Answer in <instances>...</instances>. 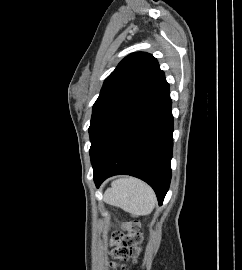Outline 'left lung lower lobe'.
<instances>
[{
  "label": "left lung lower lobe",
  "instance_id": "left-lung-lower-lobe-1",
  "mask_svg": "<svg viewBox=\"0 0 242 270\" xmlns=\"http://www.w3.org/2000/svg\"><path fill=\"white\" fill-rule=\"evenodd\" d=\"M164 80L107 134L92 161L97 187L108 177L128 174L148 183L163 203L171 180L173 116Z\"/></svg>",
  "mask_w": 242,
  "mask_h": 270
}]
</instances>
